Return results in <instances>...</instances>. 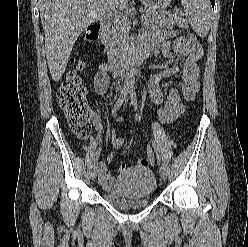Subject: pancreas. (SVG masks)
Returning a JSON list of instances; mask_svg holds the SVG:
<instances>
[{
	"mask_svg": "<svg viewBox=\"0 0 248 247\" xmlns=\"http://www.w3.org/2000/svg\"><path fill=\"white\" fill-rule=\"evenodd\" d=\"M142 19L146 27H153L156 29L172 28L174 26L188 28L184 19L174 15L165 17L164 14L150 9L145 10ZM129 30V21L125 16H116L110 19L109 29L103 40L108 56L119 55L127 49L130 40L128 35Z\"/></svg>",
	"mask_w": 248,
	"mask_h": 247,
	"instance_id": "cf45deb5",
	"label": "pancreas"
}]
</instances>
